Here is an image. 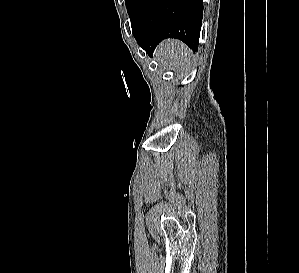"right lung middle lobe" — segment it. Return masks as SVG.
<instances>
[{"label":"right lung middle lobe","mask_w":299,"mask_h":273,"mask_svg":"<svg viewBox=\"0 0 299 273\" xmlns=\"http://www.w3.org/2000/svg\"><path fill=\"white\" fill-rule=\"evenodd\" d=\"M134 1L135 0H126V6H127V9H128L129 15L131 13V9H132Z\"/></svg>","instance_id":"dd1d6c3e"}]
</instances>
